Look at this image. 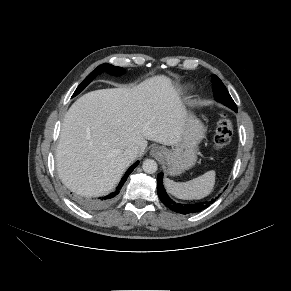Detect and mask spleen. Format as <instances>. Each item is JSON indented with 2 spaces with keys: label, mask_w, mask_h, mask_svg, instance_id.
Returning a JSON list of instances; mask_svg holds the SVG:
<instances>
[{
  "label": "spleen",
  "mask_w": 291,
  "mask_h": 291,
  "mask_svg": "<svg viewBox=\"0 0 291 291\" xmlns=\"http://www.w3.org/2000/svg\"><path fill=\"white\" fill-rule=\"evenodd\" d=\"M166 190L179 199H202L208 196L215 185V171L205 174L187 182L178 183L168 178L164 179Z\"/></svg>",
  "instance_id": "3e777b00"
}]
</instances>
